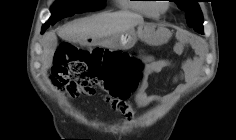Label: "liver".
Returning <instances> with one entry per match:
<instances>
[{
	"mask_svg": "<svg viewBox=\"0 0 236 140\" xmlns=\"http://www.w3.org/2000/svg\"><path fill=\"white\" fill-rule=\"evenodd\" d=\"M142 16L129 12L100 13L91 17L74 20L58 30V35L64 40L86 44L89 39L96 42L111 36L119 35L136 25L143 24ZM42 71L52 66L57 37L55 33H46L41 41Z\"/></svg>",
	"mask_w": 236,
	"mask_h": 140,
	"instance_id": "1",
	"label": "liver"
}]
</instances>
